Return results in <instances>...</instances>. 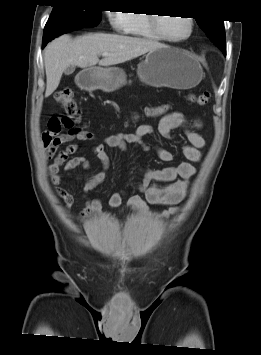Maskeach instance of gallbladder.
Here are the masks:
<instances>
[{
  "instance_id": "1",
  "label": "gallbladder",
  "mask_w": 261,
  "mask_h": 355,
  "mask_svg": "<svg viewBox=\"0 0 261 355\" xmlns=\"http://www.w3.org/2000/svg\"><path fill=\"white\" fill-rule=\"evenodd\" d=\"M74 70H75V66L70 65L69 67H67V68L65 69L64 73H65L66 75H70V74H72V73L74 72Z\"/></svg>"
}]
</instances>
